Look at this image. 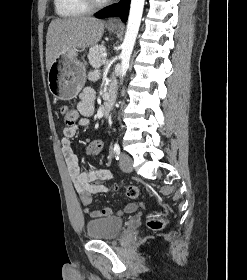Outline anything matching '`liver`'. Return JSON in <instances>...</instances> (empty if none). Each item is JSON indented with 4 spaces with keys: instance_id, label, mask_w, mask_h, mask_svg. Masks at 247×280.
Instances as JSON below:
<instances>
[{
    "instance_id": "obj_1",
    "label": "liver",
    "mask_w": 247,
    "mask_h": 280,
    "mask_svg": "<svg viewBox=\"0 0 247 280\" xmlns=\"http://www.w3.org/2000/svg\"><path fill=\"white\" fill-rule=\"evenodd\" d=\"M104 33V22L92 17H71L51 21L46 37V69L67 48H86L97 44Z\"/></svg>"
}]
</instances>
